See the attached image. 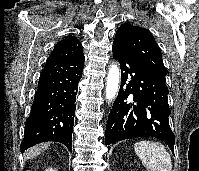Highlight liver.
Returning <instances> with one entry per match:
<instances>
[{
	"label": "liver",
	"mask_w": 199,
	"mask_h": 171,
	"mask_svg": "<svg viewBox=\"0 0 199 171\" xmlns=\"http://www.w3.org/2000/svg\"><path fill=\"white\" fill-rule=\"evenodd\" d=\"M50 143H42L39 145H36L32 148H30L29 150L26 151L25 153V157L27 159H31L34 158L36 156H38L40 153L44 152L48 147H49Z\"/></svg>",
	"instance_id": "obj_1"
}]
</instances>
